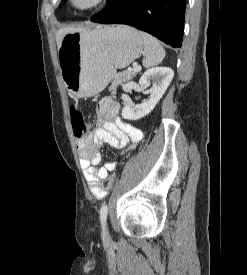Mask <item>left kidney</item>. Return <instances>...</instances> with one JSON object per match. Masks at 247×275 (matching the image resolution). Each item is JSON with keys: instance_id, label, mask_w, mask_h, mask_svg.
<instances>
[{"instance_id": "obj_1", "label": "left kidney", "mask_w": 247, "mask_h": 275, "mask_svg": "<svg viewBox=\"0 0 247 275\" xmlns=\"http://www.w3.org/2000/svg\"><path fill=\"white\" fill-rule=\"evenodd\" d=\"M174 76L169 67H155L148 69L140 78L139 85L142 89L152 81L153 86L148 91L150 98L142 104H128L122 109V117L127 120H139L148 115L164 95Z\"/></svg>"}]
</instances>
